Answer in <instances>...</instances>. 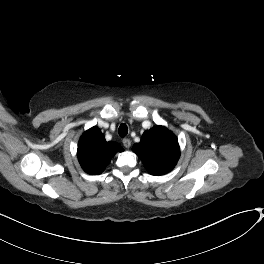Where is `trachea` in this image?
<instances>
[{
    "label": "trachea",
    "instance_id": "obj_1",
    "mask_svg": "<svg viewBox=\"0 0 264 264\" xmlns=\"http://www.w3.org/2000/svg\"><path fill=\"white\" fill-rule=\"evenodd\" d=\"M118 132L120 136L125 137L128 134V127L126 124H121L119 126Z\"/></svg>",
    "mask_w": 264,
    "mask_h": 264
}]
</instances>
